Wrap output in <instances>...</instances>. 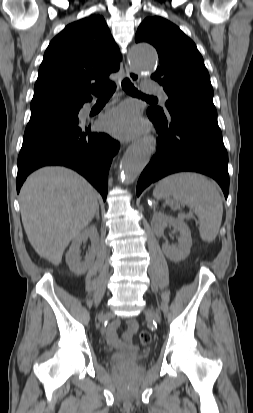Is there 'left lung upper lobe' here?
I'll list each match as a JSON object with an SVG mask.
<instances>
[{"instance_id": "obj_1", "label": "left lung upper lobe", "mask_w": 253, "mask_h": 413, "mask_svg": "<svg viewBox=\"0 0 253 413\" xmlns=\"http://www.w3.org/2000/svg\"><path fill=\"white\" fill-rule=\"evenodd\" d=\"M136 42L152 44L159 55V66L151 78L163 86L169 99L167 112L160 107L148 110L167 116L177 109L217 116L213 88L204 60L194 42L175 24L159 17H148L139 26Z\"/></svg>"}]
</instances>
